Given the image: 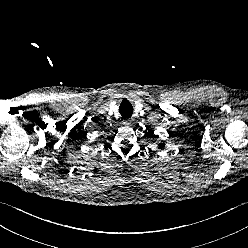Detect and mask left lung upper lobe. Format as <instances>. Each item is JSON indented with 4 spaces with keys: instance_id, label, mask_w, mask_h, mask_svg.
Here are the masks:
<instances>
[{
    "instance_id": "5c2ea615",
    "label": "left lung upper lobe",
    "mask_w": 248,
    "mask_h": 248,
    "mask_svg": "<svg viewBox=\"0 0 248 248\" xmlns=\"http://www.w3.org/2000/svg\"><path fill=\"white\" fill-rule=\"evenodd\" d=\"M150 133H153V131H151ZM150 133H149V134H150ZM163 146H164V143H160V144H159V147H163Z\"/></svg>"
}]
</instances>
